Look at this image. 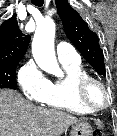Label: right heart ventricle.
Instances as JSON below:
<instances>
[{
	"label": "right heart ventricle",
	"mask_w": 117,
	"mask_h": 136,
	"mask_svg": "<svg viewBox=\"0 0 117 136\" xmlns=\"http://www.w3.org/2000/svg\"><path fill=\"white\" fill-rule=\"evenodd\" d=\"M65 70V76L49 81V88L44 100L48 107L64 110L77 115H89L93 112L83 107L76 99L75 81L88 75L81 62H61Z\"/></svg>",
	"instance_id": "e07e8e85"
}]
</instances>
